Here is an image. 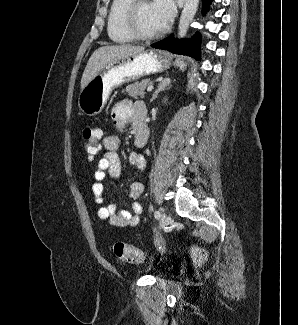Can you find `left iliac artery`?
I'll return each instance as SVG.
<instances>
[{"mask_svg":"<svg viewBox=\"0 0 298 325\" xmlns=\"http://www.w3.org/2000/svg\"><path fill=\"white\" fill-rule=\"evenodd\" d=\"M154 216H155L156 219H159L160 216H161L160 215V212L159 211H155Z\"/></svg>","mask_w":298,"mask_h":325,"instance_id":"left-iliac-artery-1","label":"left iliac artery"}]
</instances>
